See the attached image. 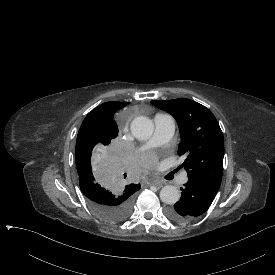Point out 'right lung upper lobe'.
<instances>
[{
  "label": "right lung upper lobe",
  "instance_id": "cb5924a9",
  "mask_svg": "<svg viewBox=\"0 0 275 275\" xmlns=\"http://www.w3.org/2000/svg\"><path fill=\"white\" fill-rule=\"evenodd\" d=\"M129 102H107L93 109L84 119L80 128L93 134L97 141L108 145L118 135V127L113 120L116 111L128 105ZM140 184H130L125 191L136 192Z\"/></svg>",
  "mask_w": 275,
  "mask_h": 275
}]
</instances>
